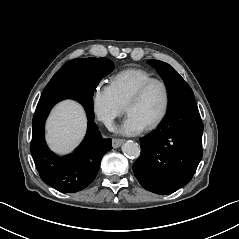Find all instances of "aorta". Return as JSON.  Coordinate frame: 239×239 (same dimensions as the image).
Here are the masks:
<instances>
[{"mask_svg":"<svg viewBox=\"0 0 239 239\" xmlns=\"http://www.w3.org/2000/svg\"><path fill=\"white\" fill-rule=\"evenodd\" d=\"M123 153L128 157L138 158L141 153V148L137 143L126 142L122 147Z\"/></svg>","mask_w":239,"mask_h":239,"instance_id":"obj_1","label":"aorta"}]
</instances>
